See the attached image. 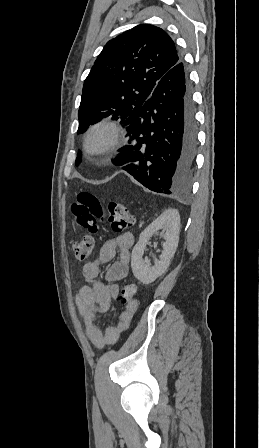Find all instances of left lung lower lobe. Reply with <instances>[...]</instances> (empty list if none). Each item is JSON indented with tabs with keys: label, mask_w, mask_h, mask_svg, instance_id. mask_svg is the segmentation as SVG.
<instances>
[{
	"label": "left lung lower lobe",
	"mask_w": 259,
	"mask_h": 448,
	"mask_svg": "<svg viewBox=\"0 0 259 448\" xmlns=\"http://www.w3.org/2000/svg\"><path fill=\"white\" fill-rule=\"evenodd\" d=\"M129 145L115 165L148 189L173 194L190 184L196 152L191 84L182 59L157 83L144 105L126 119Z\"/></svg>",
	"instance_id": "left-lung-lower-lobe-1"
}]
</instances>
